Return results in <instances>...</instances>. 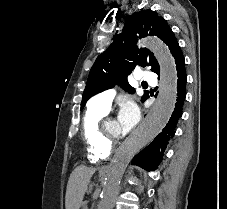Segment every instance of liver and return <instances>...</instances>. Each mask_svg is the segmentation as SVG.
<instances>
[{
    "instance_id": "obj_1",
    "label": "liver",
    "mask_w": 227,
    "mask_h": 209,
    "mask_svg": "<svg viewBox=\"0 0 227 209\" xmlns=\"http://www.w3.org/2000/svg\"><path fill=\"white\" fill-rule=\"evenodd\" d=\"M95 169H88V167H77L74 169L67 185L65 207L66 209H80L83 197L88 189L90 177H92Z\"/></svg>"
}]
</instances>
